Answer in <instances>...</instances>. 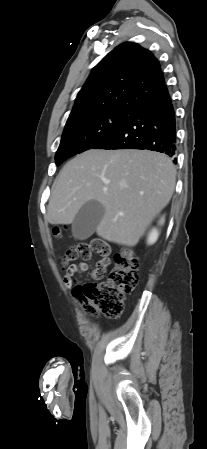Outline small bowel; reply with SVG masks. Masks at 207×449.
<instances>
[{
	"label": "small bowel",
	"instance_id": "1",
	"mask_svg": "<svg viewBox=\"0 0 207 449\" xmlns=\"http://www.w3.org/2000/svg\"><path fill=\"white\" fill-rule=\"evenodd\" d=\"M88 265L85 262L71 264L66 268V273L63 278V283L66 287H70L74 283V275L86 272Z\"/></svg>",
	"mask_w": 207,
	"mask_h": 449
}]
</instances>
